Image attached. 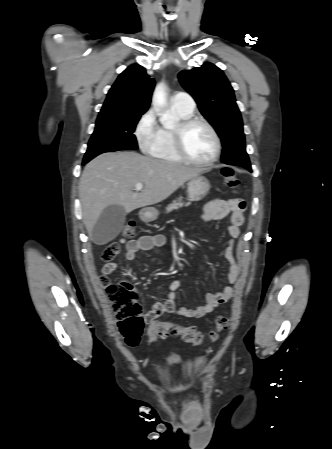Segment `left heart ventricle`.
<instances>
[{"instance_id": "1", "label": "left heart ventricle", "mask_w": 332, "mask_h": 449, "mask_svg": "<svg viewBox=\"0 0 332 449\" xmlns=\"http://www.w3.org/2000/svg\"><path fill=\"white\" fill-rule=\"evenodd\" d=\"M184 146L187 153L199 161L210 159L215 151L214 139L210 131L202 124L192 125L186 130Z\"/></svg>"}]
</instances>
